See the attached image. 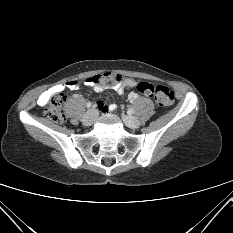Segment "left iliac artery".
<instances>
[{
    "instance_id": "44dca946",
    "label": "left iliac artery",
    "mask_w": 233,
    "mask_h": 233,
    "mask_svg": "<svg viewBox=\"0 0 233 233\" xmlns=\"http://www.w3.org/2000/svg\"><path fill=\"white\" fill-rule=\"evenodd\" d=\"M128 112L132 114V113L135 112V110H134L133 108H129V109H128Z\"/></svg>"
}]
</instances>
